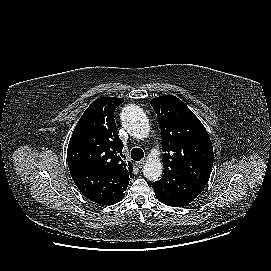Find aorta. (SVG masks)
<instances>
[{"label":"aorta","mask_w":271,"mask_h":271,"mask_svg":"<svg viewBox=\"0 0 271 271\" xmlns=\"http://www.w3.org/2000/svg\"><path fill=\"white\" fill-rule=\"evenodd\" d=\"M121 122L126 131L136 139H144L149 135L150 125L146 114L136 105H127L122 109ZM163 172L159 159L149 158L144 167L143 175L150 181L158 180Z\"/></svg>","instance_id":"1"}]
</instances>
